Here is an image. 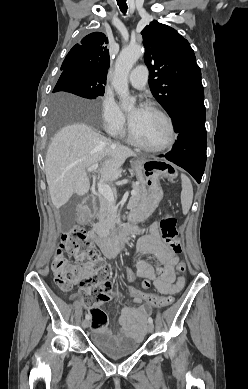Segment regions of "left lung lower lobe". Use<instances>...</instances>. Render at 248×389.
Masks as SVG:
<instances>
[{
	"label": "left lung lower lobe",
	"instance_id": "left-lung-lower-lobe-1",
	"mask_svg": "<svg viewBox=\"0 0 248 389\" xmlns=\"http://www.w3.org/2000/svg\"><path fill=\"white\" fill-rule=\"evenodd\" d=\"M178 133L172 151L161 156L189 172L198 183L206 164L207 133L204 94L181 101L169 114Z\"/></svg>",
	"mask_w": 248,
	"mask_h": 389
}]
</instances>
